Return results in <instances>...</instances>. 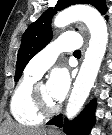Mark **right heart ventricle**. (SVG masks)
Listing matches in <instances>:
<instances>
[{"label":"right heart ventricle","instance_id":"1","mask_svg":"<svg viewBox=\"0 0 112 135\" xmlns=\"http://www.w3.org/2000/svg\"><path fill=\"white\" fill-rule=\"evenodd\" d=\"M38 78L25 72L10 100L12 117L24 126H36L43 121V116L36 112L31 101V90Z\"/></svg>","mask_w":112,"mask_h":135}]
</instances>
